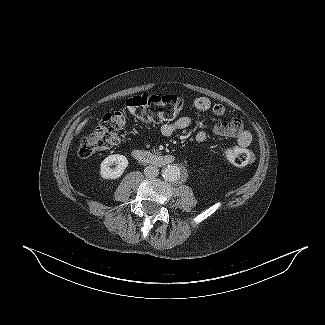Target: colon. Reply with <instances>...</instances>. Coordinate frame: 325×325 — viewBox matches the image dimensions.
<instances>
[{"label":"colon","mask_w":325,"mask_h":325,"mask_svg":"<svg viewBox=\"0 0 325 325\" xmlns=\"http://www.w3.org/2000/svg\"><path fill=\"white\" fill-rule=\"evenodd\" d=\"M183 107V99L175 95L133 96L127 100L123 108L104 114L96 129L82 136L79 155L89 157L118 145L126 135L128 115L148 124H158L174 120ZM225 157L237 166H245L252 160L250 151L243 147L226 149Z\"/></svg>","instance_id":"obj_1"}]
</instances>
